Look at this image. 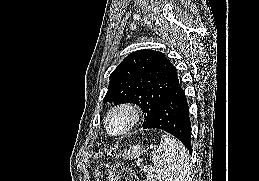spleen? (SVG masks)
<instances>
[{
	"mask_svg": "<svg viewBox=\"0 0 259 181\" xmlns=\"http://www.w3.org/2000/svg\"><path fill=\"white\" fill-rule=\"evenodd\" d=\"M152 162L147 181H188L189 153L177 139L163 134Z\"/></svg>",
	"mask_w": 259,
	"mask_h": 181,
	"instance_id": "obj_1",
	"label": "spleen"
}]
</instances>
